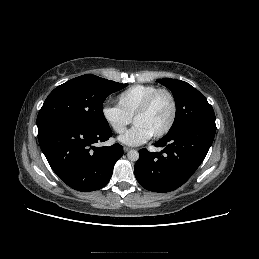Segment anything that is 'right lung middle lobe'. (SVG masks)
<instances>
[{
	"label": "right lung middle lobe",
	"instance_id": "right-lung-middle-lobe-1",
	"mask_svg": "<svg viewBox=\"0 0 259 259\" xmlns=\"http://www.w3.org/2000/svg\"><path fill=\"white\" fill-rule=\"evenodd\" d=\"M128 84L86 74L56 87L45 100L37 117L38 129L57 121H72L94 128L109 127L103 102Z\"/></svg>",
	"mask_w": 259,
	"mask_h": 259
}]
</instances>
